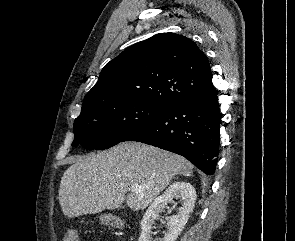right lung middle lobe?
Returning a JSON list of instances; mask_svg holds the SVG:
<instances>
[{"label": "right lung middle lobe", "mask_w": 295, "mask_h": 241, "mask_svg": "<svg viewBox=\"0 0 295 241\" xmlns=\"http://www.w3.org/2000/svg\"><path fill=\"white\" fill-rule=\"evenodd\" d=\"M163 108L133 101L114 91L87 95L74 122L72 146L81 145L88 150L108 149L155 118Z\"/></svg>", "instance_id": "obj_1"}]
</instances>
